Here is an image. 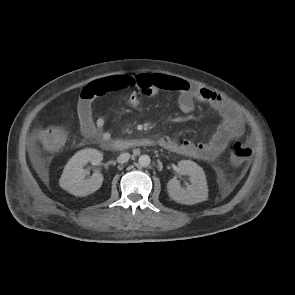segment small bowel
<instances>
[{
	"label": "small bowel",
	"instance_id": "obj_1",
	"mask_svg": "<svg viewBox=\"0 0 295 295\" xmlns=\"http://www.w3.org/2000/svg\"><path fill=\"white\" fill-rule=\"evenodd\" d=\"M117 90H129V104L136 109L147 97L161 91H171L178 96V105L184 113H190L196 102H203L214 109L222 118L220 125L205 141H176L170 136L159 139L164 149L204 161H212L226 148L228 142L244 133V121L239 111L216 92L191 85L189 82L165 74L114 75L96 79L81 91L77 114L81 134L100 142L109 141L111 133L105 129V118L93 119L92 103L95 98Z\"/></svg>",
	"mask_w": 295,
	"mask_h": 295
}]
</instances>
